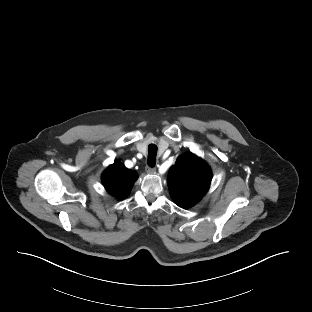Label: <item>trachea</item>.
I'll return each mask as SVG.
<instances>
[{
    "mask_svg": "<svg viewBox=\"0 0 312 312\" xmlns=\"http://www.w3.org/2000/svg\"><path fill=\"white\" fill-rule=\"evenodd\" d=\"M157 146L155 144H150L148 146V165L154 167L156 164Z\"/></svg>",
    "mask_w": 312,
    "mask_h": 312,
    "instance_id": "trachea-1",
    "label": "trachea"
}]
</instances>
